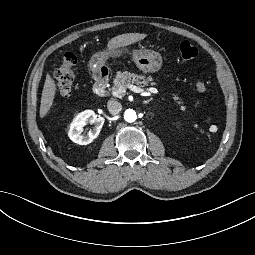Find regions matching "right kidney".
<instances>
[{"mask_svg": "<svg viewBox=\"0 0 255 255\" xmlns=\"http://www.w3.org/2000/svg\"><path fill=\"white\" fill-rule=\"evenodd\" d=\"M104 121V117L98 116L93 111H85L72 122L69 129V138L79 145L90 144L99 135ZM87 124L93 125V128L84 135L82 134L83 127Z\"/></svg>", "mask_w": 255, "mask_h": 255, "instance_id": "ca27d5eb", "label": "right kidney"}]
</instances>
